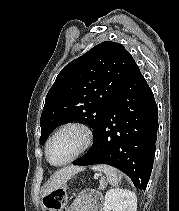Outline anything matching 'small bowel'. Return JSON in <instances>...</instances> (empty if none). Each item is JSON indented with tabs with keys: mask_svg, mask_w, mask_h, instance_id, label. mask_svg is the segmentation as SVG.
Wrapping results in <instances>:
<instances>
[{
	"mask_svg": "<svg viewBox=\"0 0 179 211\" xmlns=\"http://www.w3.org/2000/svg\"><path fill=\"white\" fill-rule=\"evenodd\" d=\"M66 211H103L102 197L94 191H86L76 195Z\"/></svg>",
	"mask_w": 179,
	"mask_h": 211,
	"instance_id": "small-bowel-1",
	"label": "small bowel"
}]
</instances>
